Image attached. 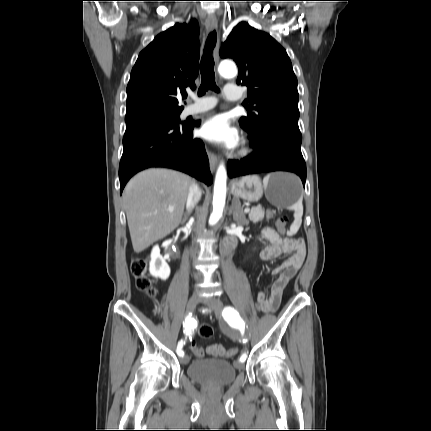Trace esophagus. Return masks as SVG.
I'll return each instance as SVG.
<instances>
[{"instance_id":"obj_1","label":"esophagus","mask_w":431,"mask_h":431,"mask_svg":"<svg viewBox=\"0 0 431 431\" xmlns=\"http://www.w3.org/2000/svg\"><path fill=\"white\" fill-rule=\"evenodd\" d=\"M206 28H207V30H209V31H214V30H217V28H218V22H217V20L215 19V18H210L208 21H207V23H206ZM213 54H214V59H215V61H217L218 62V60H219V54H218V44L216 45V47L214 48V52H213ZM208 159H209V167H210V170L212 171V172H214L215 171V169H216V166H217V156L214 154V153H212L211 151H208Z\"/></svg>"}]
</instances>
